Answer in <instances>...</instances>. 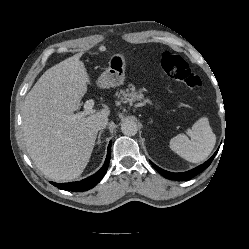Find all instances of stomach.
<instances>
[{
	"instance_id": "stomach-1",
	"label": "stomach",
	"mask_w": 249,
	"mask_h": 249,
	"mask_svg": "<svg viewBox=\"0 0 249 249\" xmlns=\"http://www.w3.org/2000/svg\"><path fill=\"white\" fill-rule=\"evenodd\" d=\"M108 68L98 78V85L101 88L117 87L124 82L126 58L121 53L110 57Z\"/></svg>"
}]
</instances>
